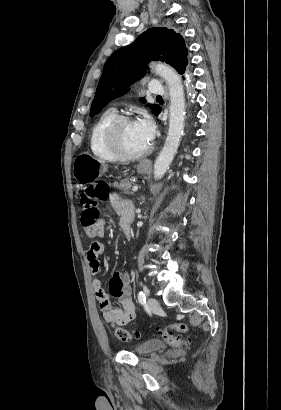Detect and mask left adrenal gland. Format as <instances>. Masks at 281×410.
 Returning <instances> with one entry per match:
<instances>
[{
    "instance_id": "left-adrenal-gland-1",
    "label": "left adrenal gland",
    "mask_w": 281,
    "mask_h": 410,
    "mask_svg": "<svg viewBox=\"0 0 281 410\" xmlns=\"http://www.w3.org/2000/svg\"><path fill=\"white\" fill-rule=\"evenodd\" d=\"M141 203H143L144 201H145V198H144V196H141Z\"/></svg>"
}]
</instances>
